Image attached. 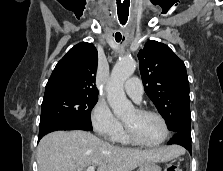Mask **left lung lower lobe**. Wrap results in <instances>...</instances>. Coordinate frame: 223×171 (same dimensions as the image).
<instances>
[{
  "label": "left lung lower lobe",
  "mask_w": 223,
  "mask_h": 171,
  "mask_svg": "<svg viewBox=\"0 0 223 171\" xmlns=\"http://www.w3.org/2000/svg\"><path fill=\"white\" fill-rule=\"evenodd\" d=\"M168 144H178L185 147L192 154L191 147V136H188L184 133H174L172 139L168 142Z\"/></svg>",
  "instance_id": "1"
}]
</instances>
